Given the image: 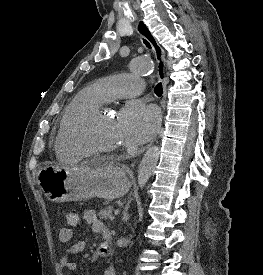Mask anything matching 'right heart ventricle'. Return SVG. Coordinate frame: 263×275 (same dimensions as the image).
Masks as SVG:
<instances>
[{
	"label": "right heart ventricle",
	"instance_id": "1",
	"mask_svg": "<svg viewBox=\"0 0 263 275\" xmlns=\"http://www.w3.org/2000/svg\"><path fill=\"white\" fill-rule=\"evenodd\" d=\"M105 101L98 84H93L80 91L69 103L62 117L56 143L57 151L61 156L70 159H79L84 156V153L68 139V131L84 114L100 106Z\"/></svg>",
	"mask_w": 263,
	"mask_h": 275
}]
</instances>
